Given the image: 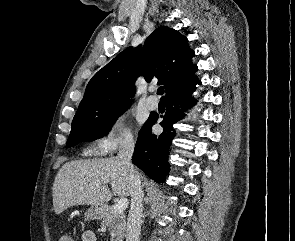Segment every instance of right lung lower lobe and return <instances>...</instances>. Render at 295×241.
I'll list each match as a JSON object with an SVG mask.
<instances>
[{
  "mask_svg": "<svg viewBox=\"0 0 295 241\" xmlns=\"http://www.w3.org/2000/svg\"><path fill=\"white\" fill-rule=\"evenodd\" d=\"M199 80L169 93L167 97V109L160 125L164 131L160 135L152 133L151 128L159 118L158 115H150L142 127L135 145L132 162L144 171L157 183H162L169 172L168 154L171 141L175 136L173 124L181 120L185 111L195 104L192 93L196 90Z\"/></svg>",
  "mask_w": 295,
  "mask_h": 241,
  "instance_id": "obj_1",
  "label": "right lung lower lobe"
}]
</instances>
